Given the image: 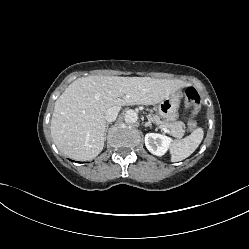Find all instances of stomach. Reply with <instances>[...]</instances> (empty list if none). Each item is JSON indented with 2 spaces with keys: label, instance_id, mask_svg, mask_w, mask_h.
I'll list each match as a JSON object with an SVG mask.
<instances>
[{
  "label": "stomach",
  "instance_id": "0dacf381",
  "mask_svg": "<svg viewBox=\"0 0 249 249\" xmlns=\"http://www.w3.org/2000/svg\"><path fill=\"white\" fill-rule=\"evenodd\" d=\"M179 102V94L172 93L158 104V114L163 121L172 124L178 119Z\"/></svg>",
  "mask_w": 249,
  "mask_h": 249
}]
</instances>
